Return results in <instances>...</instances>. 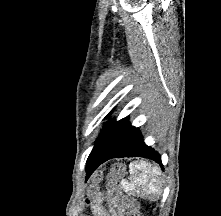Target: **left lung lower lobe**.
<instances>
[{"label":"left lung lower lobe","mask_w":221,"mask_h":216,"mask_svg":"<svg viewBox=\"0 0 221 216\" xmlns=\"http://www.w3.org/2000/svg\"><path fill=\"white\" fill-rule=\"evenodd\" d=\"M123 157L149 158L162 165L160 155L143 142L142 134L139 131L137 135L119 152H113L110 149L102 147L92 150L87 160L86 180L102 163L112 158Z\"/></svg>","instance_id":"left-lung-lower-lobe-1"}]
</instances>
